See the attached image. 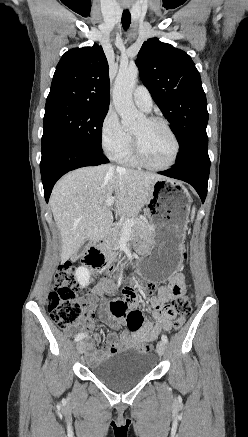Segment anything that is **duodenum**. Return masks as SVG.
Here are the masks:
<instances>
[{
	"label": "duodenum",
	"instance_id": "1",
	"mask_svg": "<svg viewBox=\"0 0 248 437\" xmlns=\"http://www.w3.org/2000/svg\"><path fill=\"white\" fill-rule=\"evenodd\" d=\"M102 246H103V241L91 247L88 250L87 254L85 255L84 261L86 263H90L91 261L99 257H102Z\"/></svg>",
	"mask_w": 248,
	"mask_h": 437
}]
</instances>
